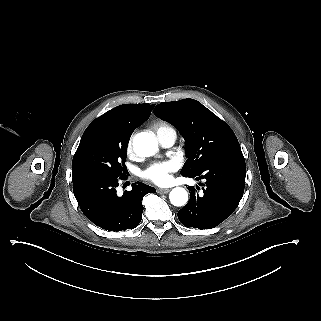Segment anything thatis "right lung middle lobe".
<instances>
[{"mask_svg":"<svg viewBox=\"0 0 321 321\" xmlns=\"http://www.w3.org/2000/svg\"><path fill=\"white\" fill-rule=\"evenodd\" d=\"M133 130H115L95 119L85 130L73 157L72 172L94 171L112 177L126 174V150Z\"/></svg>","mask_w":321,"mask_h":321,"instance_id":"1","label":"right lung middle lobe"}]
</instances>
